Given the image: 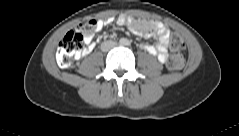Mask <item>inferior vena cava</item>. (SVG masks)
I'll use <instances>...</instances> for the list:
<instances>
[{"instance_id":"inferior-vena-cava-1","label":"inferior vena cava","mask_w":239,"mask_h":136,"mask_svg":"<svg viewBox=\"0 0 239 136\" xmlns=\"http://www.w3.org/2000/svg\"><path fill=\"white\" fill-rule=\"evenodd\" d=\"M116 43L113 42V41H107V42H104L102 45H101V49L103 51H107L109 49H112L113 47H115Z\"/></svg>"}]
</instances>
